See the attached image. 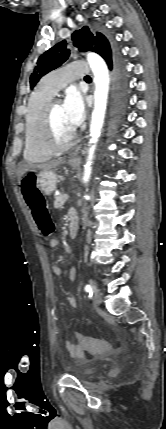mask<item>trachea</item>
I'll return each mask as SVG.
<instances>
[{"label": "trachea", "mask_w": 166, "mask_h": 429, "mask_svg": "<svg viewBox=\"0 0 166 429\" xmlns=\"http://www.w3.org/2000/svg\"><path fill=\"white\" fill-rule=\"evenodd\" d=\"M85 79H90V76H86Z\"/></svg>", "instance_id": "3493384b"}]
</instances>
